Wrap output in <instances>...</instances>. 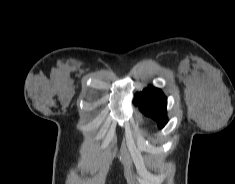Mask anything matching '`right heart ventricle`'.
<instances>
[{"label": "right heart ventricle", "instance_id": "1", "mask_svg": "<svg viewBox=\"0 0 235 184\" xmlns=\"http://www.w3.org/2000/svg\"><path fill=\"white\" fill-rule=\"evenodd\" d=\"M138 122H139L140 124H145V121H144V119H143L142 116H139Z\"/></svg>", "mask_w": 235, "mask_h": 184}]
</instances>
